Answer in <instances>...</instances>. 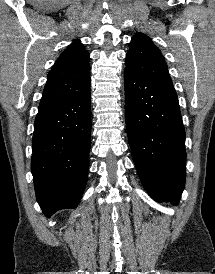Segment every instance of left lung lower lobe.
Wrapping results in <instances>:
<instances>
[{
    "instance_id": "left-lung-lower-lobe-1",
    "label": "left lung lower lobe",
    "mask_w": 215,
    "mask_h": 274,
    "mask_svg": "<svg viewBox=\"0 0 215 274\" xmlns=\"http://www.w3.org/2000/svg\"><path fill=\"white\" fill-rule=\"evenodd\" d=\"M125 119L139 177L155 201L179 203L185 130L174 86L125 68Z\"/></svg>"
}]
</instances>
